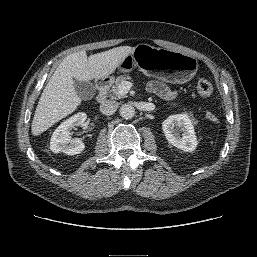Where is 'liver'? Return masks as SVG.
Listing matches in <instances>:
<instances>
[{
  "label": "liver",
  "instance_id": "1",
  "mask_svg": "<svg viewBox=\"0 0 257 257\" xmlns=\"http://www.w3.org/2000/svg\"><path fill=\"white\" fill-rule=\"evenodd\" d=\"M134 47L120 46L87 57L85 51L68 55L49 79L39 99L31 132L38 136L74 112L81 104L75 80L89 82L112 74Z\"/></svg>",
  "mask_w": 257,
  "mask_h": 257
}]
</instances>
